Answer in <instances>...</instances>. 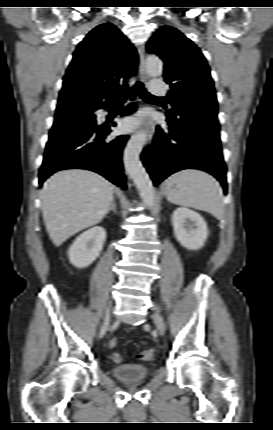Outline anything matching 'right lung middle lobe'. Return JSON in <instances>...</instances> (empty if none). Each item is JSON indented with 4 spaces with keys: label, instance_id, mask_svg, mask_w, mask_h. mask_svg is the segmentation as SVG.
<instances>
[{
    "label": "right lung middle lobe",
    "instance_id": "obj_1",
    "mask_svg": "<svg viewBox=\"0 0 273 430\" xmlns=\"http://www.w3.org/2000/svg\"><path fill=\"white\" fill-rule=\"evenodd\" d=\"M96 107L81 100H71L57 107L55 122L49 133V140L87 131L95 127L93 114Z\"/></svg>",
    "mask_w": 273,
    "mask_h": 430
}]
</instances>
